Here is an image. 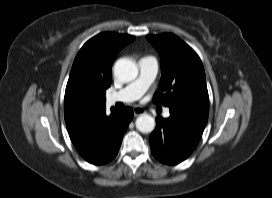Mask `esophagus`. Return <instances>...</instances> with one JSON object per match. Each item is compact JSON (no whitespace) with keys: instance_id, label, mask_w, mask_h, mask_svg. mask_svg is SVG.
Instances as JSON below:
<instances>
[{"instance_id":"obj_1","label":"esophagus","mask_w":272,"mask_h":198,"mask_svg":"<svg viewBox=\"0 0 272 198\" xmlns=\"http://www.w3.org/2000/svg\"><path fill=\"white\" fill-rule=\"evenodd\" d=\"M133 111L135 116H139L145 113V110L142 107H138V106L134 107Z\"/></svg>"}]
</instances>
